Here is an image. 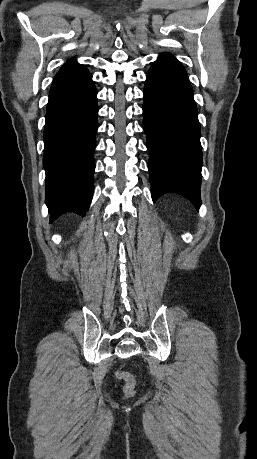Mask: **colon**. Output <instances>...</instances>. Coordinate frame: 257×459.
I'll return each mask as SVG.
<instances>
[{
  "mask_svg": "<svg viewBox=\"0 0 257 459\" xmlns=\"http://www.w3.org/2000/svg\"><path fill=\"white\" fill-rule=\"evenodd\" d=\"M116 376L118 379L124 381L123 391L125 395L128 397L132 396L135 393L136 386V381L133 375L125 371H119Z\"/></svg>",
  "mask_w": 257,
  "mask_h": 459,
  "instance_id": "5ec220e1",
  "label": "colon"
}]
</instances>
